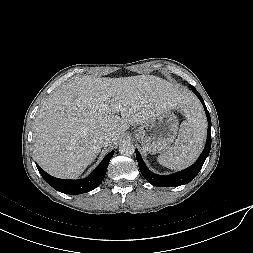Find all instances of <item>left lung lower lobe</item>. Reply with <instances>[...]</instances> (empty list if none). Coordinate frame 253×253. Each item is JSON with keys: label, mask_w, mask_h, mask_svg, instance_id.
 <instances>
[{"label": "left lung lower lobe", "mask_w": 253, "mask_h": 253, "mask_svg": "<svg viewBox=\"0 0 253 253\" xmlns=\"http://www.w3.org/2000/svg\"><path fill=\"white\" fill-rule=\"evenodd\" d=\"M192 91L198 96L200 101L202 102L206 115L208 120V132H207V141L205 148L203 152L201 153L198 160L187 169L180 171L178 173L168 175V176H162L152 173L147 169L145 166L141 155L139 154L138 150L136 149V159L139 165V169L143 175V177L152 185L158 186V187H175L180 186L183 184L189 183L191 180H193L199 171L201 170L206 158L209 155L210 148H211V118L209 115V112L205 106V103L201 97V95L198 93V91L191 85Z\"/></svg>", "instance_id": "0a47b994"}]
</instances>
